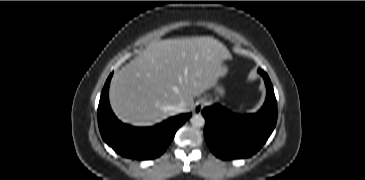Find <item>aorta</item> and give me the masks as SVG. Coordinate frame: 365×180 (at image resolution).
Masks as SVG:
<instances>
[{"label": "aorta", "instance_id": "1", "mask_svg": "<svg viewBox=\"0 0 365 180\" xmlns=\"http://www.w3.org/2000/svg\"><path fill=\"white\" fill-rule=\"evenodd\" d=\"M190 122L196 126V127H202L205 124V119L202 115L200 114H195L192 116V118L190 119Z\"/></svg>", "mask_w": 365, "mask_h": 180}]
</instances>
